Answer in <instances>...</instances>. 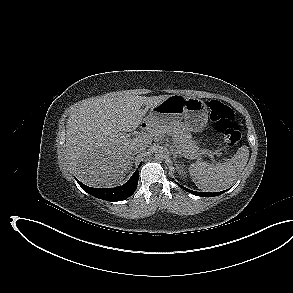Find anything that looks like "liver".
<instances>
[{
	"mask_svg": "<svg viewBox=\"0 0 293 293\" xmlns=\"http://www.w3.org/2000/svg\"><path fill=\"white\" fill-rule=\"evenodd\" d=\"M169 96L108 93L74 109L66 122L65 152L80 181L92 187L122 183L132 166L135 145L152 142L150 135L131 138L128 132L146 121L149 108Z\"/></svg>",
	"mask_w": 293,
	"mask_h": 293,
	"instance_id": "liver-1",
	"label": "liver"
}]
</instances>
